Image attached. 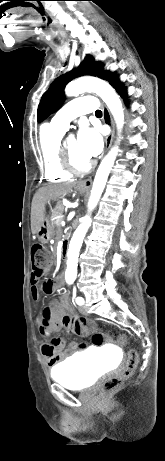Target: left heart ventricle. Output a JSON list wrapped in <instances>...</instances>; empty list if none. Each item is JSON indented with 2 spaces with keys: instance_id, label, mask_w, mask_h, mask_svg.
Returning a JSON list of instances; mask_svg holds the SVG:
<instances>
[{
  "instance_id": "left-heart-ventricle-1",
  "label": "left heart ventricle",
  "mask_w": 165,
  "mask_h": 461,
  "mask_svg": "<svg viewBox=\"0 0 165 461\" xmlns=\"http://www.w3.org/2000/svg\"><path fill=\"white\" fill-rule=\"evenodd\" d=\"M66 147L70 153L71 159L79 167L85 166L89 159L85 158L79 151L77 140L75 138L66 139Z\"/></svg>"
}]
</instances>
